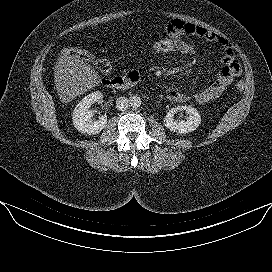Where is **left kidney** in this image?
<instances>
[{
  "label": "left kidney",
  "mask_w": 272,
  "mask_h": 272,
  "mask_svg": "<svg viewBox=\"0 0 272 272\" xmlns=\"http://www.w3.org/2000/svg\"><path fill=\"white\" fill-rule=\"evenodd\" d=\"M180 111H186L189 115L186 121L174 119V115ZM200 123L201 116L199 112L196 108L191 106H177L175 108H171L164 118L165 127L177 134H187L192 132L199 127Z\"/></svg>",
  "instance_id": "obj_1"
}]
</instances>
